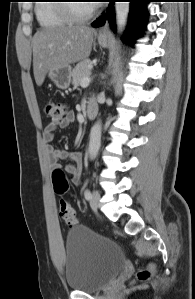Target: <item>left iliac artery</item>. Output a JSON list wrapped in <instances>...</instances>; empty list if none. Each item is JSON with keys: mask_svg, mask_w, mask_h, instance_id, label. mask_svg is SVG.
Masks as SVG:
<instances>
[{"mask_svg": "<svg viewBox=\"0 0 195 299\" xmlns=\"http://www.w3.org/2000/svg\"><path fill=\"white\" fill-rule=\"evenodd\" d=\"M84 197L86 200H90L92 195H91V192L90 190L86 189L85 192H84Z\"/></svg>", "mask_w": 195, "mask_h": 299, "instance_id": "1", "label": "left iliac artery"}]
</instances>
